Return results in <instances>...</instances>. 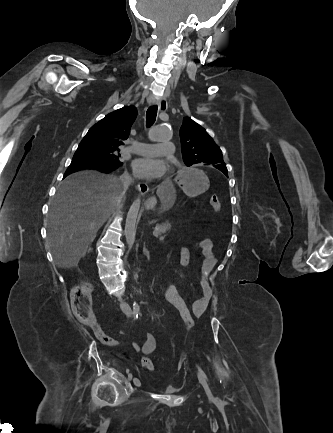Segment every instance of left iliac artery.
I'll use <instances>...</instances> for the list:
<instances>
[{
    "mask_svg": "<svg viewBox=\"0 0 333 433\" xmlns=\"http://www.w3.org/2000/svg\"><path fill=\"white\" fill-rule=\"evenodd\" d=\"M133 310H134V313L138 315L140 309H139V305H138L136 302H134V304H133ZM197 368H198V370L203 374V376L206 377V375H205V373L202 371V369H201L199 366H197ZM206 378H207V377H206Z\"/></svg>",
    "mask_w": 333,
    "mask_h": 433,
    "instance_id": "left-iliac-artery-1",
    "label": "left iliac artery"
}]
</instances>
